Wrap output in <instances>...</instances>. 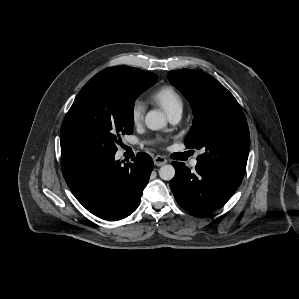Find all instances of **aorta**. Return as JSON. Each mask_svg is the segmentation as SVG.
Masks as SVG:
<instances>
[{
	"label": "aorta",
	"mask_w": 299,
	"mask_h": 299,
	"mask_svg": "<svg viewBox=\"0 0 299 299\" xmlns=\"http://www.w3.org/2000/svg\"><path fill=\"white\" fill-rule=\"evenodd\" d=\"M145 124L151 130H159L167 125L166 116L158 110H151L146 114ZM161 179L169 181L175 176V169L172 165H164L159 169Z\"/></svg>",
	"instance_id": "obj_1"
}]
</instances>
